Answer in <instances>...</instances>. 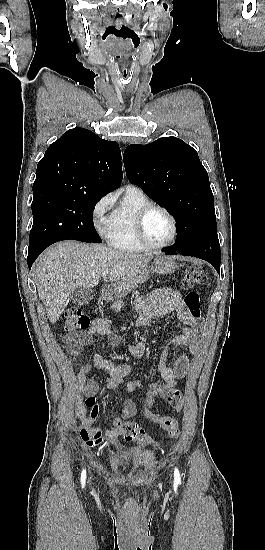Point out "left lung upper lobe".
<instances>
[{"label": "left lung upper lobe", "mask_w": 265, "mask_h": 550, "mask_svg": "<svg viewBox=\"0 0 265 550\" xmlns=\"http://www.w3.org/2000/svg\"><path fill=\"white\" fill-rule=\"evenodd\" d=\"M126 174L176 220L175 247L182 252H211L220 257L213 193L197 151L176 137L129 145Z\"/></svg>", "instance_id": "1"}]
</instances>
